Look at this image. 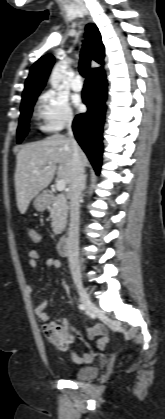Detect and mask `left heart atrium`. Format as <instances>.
<instances>
[{
  "mask_svg": "<svg viewBox=\"0 0 165 419\" xmlns=\"http://www.w3.org/2000/svg\"><path fill=\"white\" fill-rule=\"evenodd\" d=\"M75 105H76L79 109H82V108H83V105H82V103H81L80 99H76V100H75Z\"/></svg>",
  "mask_w": 165,
  "mask_h": 419,
  "instance_id": "left-heart-atrium-1",
  "label": "left heart atrium"
}]
</instances>
